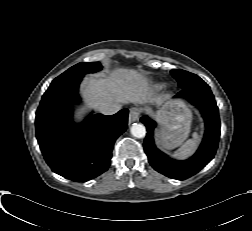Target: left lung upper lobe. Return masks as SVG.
<instances>
[{"label":"left lung upper lobe","mask_w":252,"mask_h":231,"mask_svg":"<svg viewBox=\"0 0 252 231\" xmlns=\"http://www.w3.org/2000/svg\"><path fill=\"white\" fill-rule=\"evenodd\" d=\"M171 74L178 81V85L182 89L187 88V87H192V86H205V85H207L197 75L190 73L188 71L182 70V69L171 70Z\"/></svg>","instance_id":"5c2ea615"}]
</instances>
